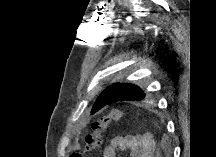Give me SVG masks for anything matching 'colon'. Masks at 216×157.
Segmentation results:
<instances>
[{
    "label": "colon",
    "instance_id": "obj_1",
    "mask_svg": "<svg viewBox=\"0 0 216 157\" xmlns=\"http://www.w3.org/2000/svg\"><path fill=\"white\" fill-rule=\"evenodd\" d=\"M124 112L121 109H112L107 115L92 123L91 132L86 137V148L84 152H73L69 157H82L84 153L92 152L99 148L103 141L106 129L115 122L121 121Z\"/></svg>",
    "mask_w": 216,
    "mask_h": 157
}]
</instances>
